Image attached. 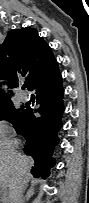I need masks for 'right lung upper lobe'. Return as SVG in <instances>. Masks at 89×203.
<instances>
[{
  "mask_svg": "<svg viewBox=\"0 0 89 203\" xmlns=\"http://www.w3.org/2000/svg\"><path fill=\"white\" fill-rule=\"evenodd\" d=\"M57 65L49 45L30 27L10 31L0 45V75L8 80L9 88L18 87L19 79L24 77L29 89ZM10 102V95L0 89V107Z\"/></svg>",
  "mask_w": 89,
  "mask_h": 203,
  "instance_id": "right-lung-upper-lobe-1",
  "label": "right lung upper lobe"
}]
</instances>
